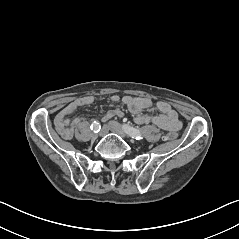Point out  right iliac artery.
Returning <instances> with one entry per match:
<instances>
[{
	"instance_id": "82829eb1",
	"label": "right iliac artery",
	"mask_w": 239,
	"mask_h": 239,
	"mask_svg": "<svg viewBox=\"0 0 239 239\" xmlns=\"http://www.w3.org/2000/svg\"><path fill=\"white\" fill-rule=\"evenodd\" d=\"M101 129V125L98 121H93L92 124H91V130L95 133L99 132Z\"/></svg>"
}]
</instances>
